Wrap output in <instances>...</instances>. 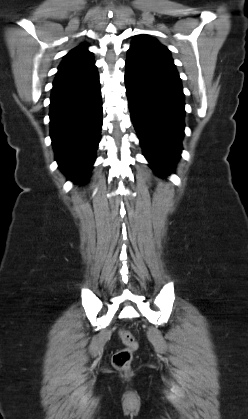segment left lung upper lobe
<instances>
[{
	"mask_svg": "<svg viewBox=\"0 0 248 419\" xmlns=\"http://www.w3.org/2000/svg\"><path fill=\"white\" fill-rule=\"evenodd\" d=\"M130 49L174 65L170 51L165 46L161 45L156 39L150 38L147 35L136 36Z\"/></svg>",
	"mask_w": 248,
	"mask_h": 419,
	"instance_id": "left-lung-upper-lobe-1",
	"label": "left lung upper lobe"
}]
</instances>
